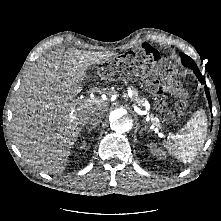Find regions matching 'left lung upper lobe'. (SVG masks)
Masks as SVG:
<instances>
[{
    "label": "left lung upper lobe",
    "instance_id": "5c2ea615",
    "mask_svg": "<svg viewBox=\"0 0 221 221\" xmlns=\"http://www.w3.org/2000/svg\"><path fill=\"white\" fill-rule=\"evenodd\" d=\"M180 55H181L182 63L184 66L191 67V68L196 67V64L192 58L188 57L187 55L183 53H181Z\"/></svg>",
    "mask_w": 221,
    "mask_h": 221
}]
</instances>
